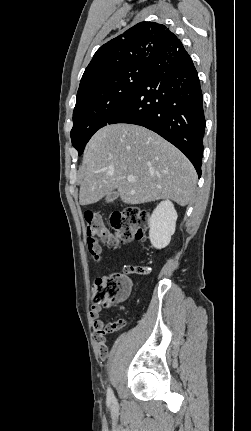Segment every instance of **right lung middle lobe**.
<instances>
[{"label":"right lung middle lobe","mask_w":251,"mask_h":431,"mask_svg":"<svg viewBox=\"0 0 251 431\" xmlns=\"http://www.w3.org/2000/svg\"><path fill=\"white\" fill-rule=\"evenodd\" d=\"M147 65H134L77 93L71 139L81 155L92 135L140 86Z\"/></svg>","instance_id":"obj_1"}]
</instances>
